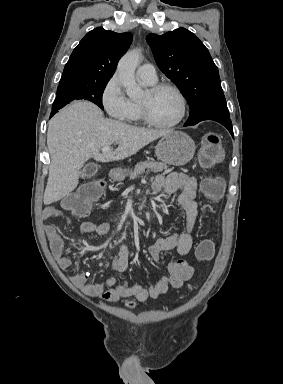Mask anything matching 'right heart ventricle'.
Wrapping results in <instances>:
<instances>
[{
	"label": "right heart ventricle",
	"mask_w": 283,
	"mask_h": 384,
	"mask_svg": "<svg viewBox=\"0 0 283 384\" xmlns=\"http://www.w3.org/2000/svg\"><path fill=\"white\" fill-rule=\"evenodd\" d=\"M130 107H131V111H130L129 122L134 124L140 123L142 121V118L140 116L138 102L135 100H130Z\"/></svg>",
	"instance_id": "obj_1"
}]
</instances>
